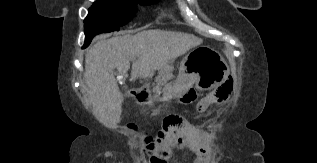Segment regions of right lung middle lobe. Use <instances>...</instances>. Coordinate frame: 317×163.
<instances>
[{
	"label": "right lung middle lobe",
	"mask_w": 317,
	"mask_h": 163,
	"mask_svg": "<svg viewBox=\"0 0 317 163\" xmlns=\"http://www.w3.org/2000/svg\"><path fill=\"white\" fill-rule=\"evenodd\" d=\"M156 1L158 0L96 1L84 20L85 44L89 45L92 38L99 33L118 31L120 26L134 17L137 3L149 5Z\"/></svg>",
	"instance_id": "1"
}]
</instances>
